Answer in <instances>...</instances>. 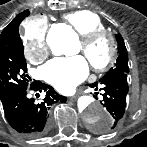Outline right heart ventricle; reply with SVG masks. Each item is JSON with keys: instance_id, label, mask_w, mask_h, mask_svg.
I'll return each mask as SVG.
<instances>
[{"instance_id": "right-heart-ventricle-1", "label": "right heart ventricle", "mask_w": 147, "mask_h": 147, "mask_svg": "<svg viewBox=\"0 0 147 147\" xmlns=\"http://www.w3.org/2000/svg\"><path fill=\"white\" fill-rule=\"evenodd\" d=\"M64 19L81 37L93 31L104 29L101 18L96 13L88 10L69 13L64 16Z\"/></svg>"}]
</instances>
